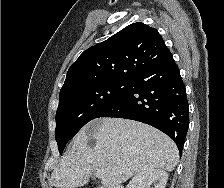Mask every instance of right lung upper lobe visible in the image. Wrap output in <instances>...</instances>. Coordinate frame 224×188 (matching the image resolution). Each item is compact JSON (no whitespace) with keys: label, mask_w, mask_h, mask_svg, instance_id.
Segmentation results:
<instances>
[{"label":"right lung upper lobe","mask_w":224,"mask_h":188,"mask_svg":"<svg viewBox=\"0 0 224 188\" xmlns=\"http://www.w3.org/2000/svg\"><path fill=\"white\" fill-rule=\"evenodd\" d=\"M171 55L155 28L133 23L85 50L69 68L61 91L110 80H132Z\"/></svg>","instance_id":"obj_1"}]
</instances>
